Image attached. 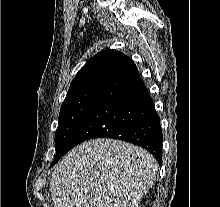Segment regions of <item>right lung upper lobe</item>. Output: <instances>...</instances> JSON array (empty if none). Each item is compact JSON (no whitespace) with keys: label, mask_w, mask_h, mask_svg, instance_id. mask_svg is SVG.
Wrapping results in <instances>:
<instances>
[{"label":"right lung upper lobe","mask_w":220,"mask_h":207,"mask_svg":"<svg viewBox=\"0 0 220 207\" xmlns=\"http://www.w3.org/2000/svg\"><path fill=\"white\" fill-rule=\"evenodd\" d=\"M134 65L123 53L107 49L91 57L73 79L69 91L94 81H105L115 73Z\"/></svg>","instance_id":"1"}]
</instances>
